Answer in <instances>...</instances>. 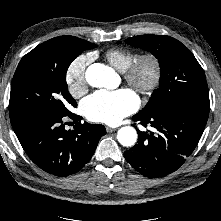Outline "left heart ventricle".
I'll list each match as a JSON object with an SVG mask.
<instances>
[{
	"label": "left heart ventricle",
	"mask_w": 221,
	"mask_h": 221,
	"mask_svg": "<svg viewBox=\"0 0 221 221\" xmlns=\"http://www.w3.org/2000/svg\"><path fill=\"white\" fill-rule=\"evenodd\" d=\"M150 73H151V69H150V66L149 65H146L144 68H143V71H142V76L146 79L150 76Z\"/></svg>",
	"instance_id": "1"
}]
</instances>
